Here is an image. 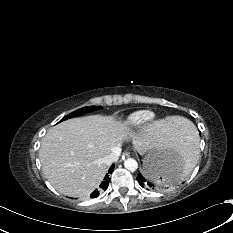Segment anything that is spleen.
Here are the masks:
<instances>
[{
	"instance_id": "obj_1",
	"label": "spleen",
	"mask_w": 233,
	"mask_h": 233,
	"mask_svg": "<svg viewBox=\"0 0 233 233\" xmlns=\"http://www.w3.org/2000/svg\"><path fill=\"white\" fill-rule=\"evenodd\" d=\"M171 148H177L178 153L182 155V159L185 162V170L178 178V180H180L189 167V164H192L199 159V152L197 148V132L190 121L184 119V126L178 132V141Z\"/></svg>"
}]
</instances>
